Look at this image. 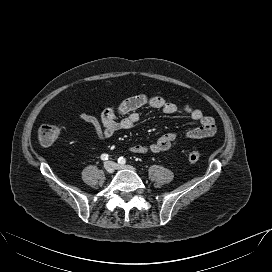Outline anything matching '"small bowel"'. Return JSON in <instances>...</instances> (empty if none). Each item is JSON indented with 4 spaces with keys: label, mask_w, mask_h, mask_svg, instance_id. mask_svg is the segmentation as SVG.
I'll return each instance as SVG.
<instances>
[{
    "label": "small bowel",
    "mask_w": 272,
    "mask_h": 272,
    "mask_svg": "<svg viewBox=\"0 0 272 272\" xmlns=\"http://www.w3.org/2000/svg\"><path fill=\"white\" fill-rule=\"evenodd\" d=\"M143 107L159 109L168 115L176 113L188 115L197 125L184 132L186 139H202L216 132L213 118L204 115L200 109L187 103L177 105L163 97L144 94L130 97L115 107L106 108L100 118L88 113H80L79 118L94 128L98 138L110 139L118 131L132 129L140 120L138 110ZM178 137L177 132H169L150 143L132 145L129 150L137 154L166 152L173 147Z\"/></svg>",
    "instance_id": "obj_1"
}]
</instances>
